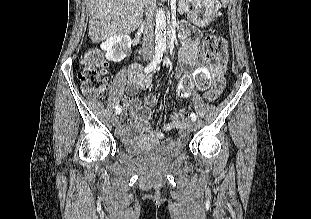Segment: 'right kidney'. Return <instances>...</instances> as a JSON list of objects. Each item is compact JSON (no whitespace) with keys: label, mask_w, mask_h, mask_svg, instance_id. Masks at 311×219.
Returning a JSON list of instances; mask_svg holds the SVG:
<instances>
[{"label":"right kidney","mask_w":311,"mask_h":219,"mask_svg":"<svg viewBox=\"0 0 311 219\" xmlns=\"http://www.w3.org/2000/svg\"><path fill=\"white\" fill-rule=\"evenodd\" d=\"M131 38L128 35H117L108 38L101 44V49L106 52V58L112 62H120L131 50Z\"/></svg>","instance_id":"right-kidney-1"}]
</instances>
